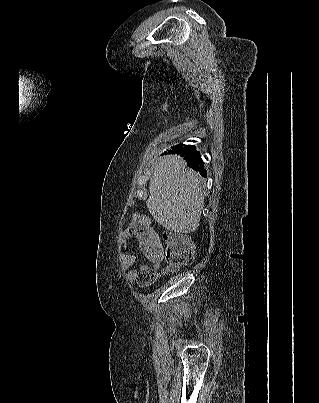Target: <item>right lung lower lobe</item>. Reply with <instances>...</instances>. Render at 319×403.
Returning a JSON list of instances; mask_svg holds the SVG:
<instances>
[{
	"label": "right lung lower lobe",
	"instance_id": "1",
	"mask_svg": "<svg viewBox=\"0 0 319 403\" xmlns=\"http://www.w3.org/2000/svg\"><path fill=\"white\" fill-rule=\"evenodd\" d=\"M169 153H176L180 156H183L186 160H188V166L192 167L196 171H200L202 176H206V170L203 168L202 159L194 146L179 144L177 146H173Z\"/></svg>",
	"mask_w": 319,
	"mask_h": 403
}]
</instances>
